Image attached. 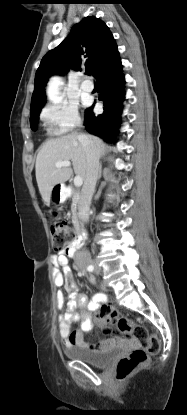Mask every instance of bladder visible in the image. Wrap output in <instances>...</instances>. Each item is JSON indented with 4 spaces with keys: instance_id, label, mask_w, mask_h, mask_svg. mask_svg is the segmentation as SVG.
<instances>
[{
    "instance_id": "bladder-1",
    "label": "bladder",
    "mask_w": 187,
    "mask_h": 415,
    "mask_svg": "<svg viewBox=\"0 0 187 415\" xmlns=\"http://www.w3.org/2000/svg\"><path fill=\"white\" fill-rule=\"evenodd\" d=\"M121 352V347L117 346L105 351H90L83 347H69L65 349L67 357L79 360L97 368L108 366L111 361Z\"/></svg>"
}]
</instances>
